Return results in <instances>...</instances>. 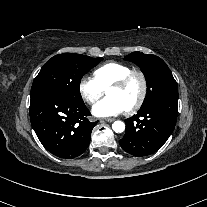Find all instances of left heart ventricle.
<instances>
[{
	"label": "left heart ventricle",
	"mask_w": 207,
	"mask_h": 207,
	"mask_svg": "<svg viewBox=\"0 0 207 207\" xmlns=\"http://www.w3.org/2000/svg\"><path fill=\"white\" fill-rule=\"evenodd\" d=\"M141 93V82L138 78L133 79L125 88H110L107 91L108 97L119 100L125 109L131 107L139 98Z\"/></svg>",
	"instance_id": "left-heart-ventricle-1"
}]
</instances>
